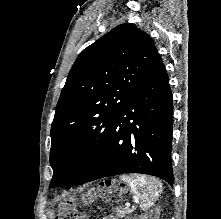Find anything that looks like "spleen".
<instances>
[{
  "instance_id": "obj_1",
  "label": "spleen",
  "mask_w": 221,
  "mask_h": 219,
  "mask_svg": "<svg viewBox=\"0 0 221 219\" xmlns=\"http://www.w3.org/2000/svg\"><path fill=\"white\" fill-rule=\"evenodd\" d=\"M120 179L129 187L136 199L140 200L142 209H148L159 197L162 185L155 178L144 175H121Z\"/></svg>"
}]
</instances>
